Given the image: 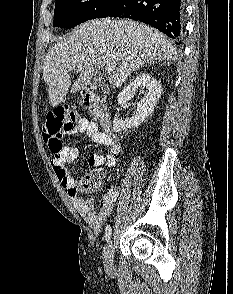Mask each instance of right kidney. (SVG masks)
I'll return each mask as SVG.
<instances>
[{
    "mask_svg": "<svg viewBox=\"0 0 233 294\" xmlns=\"http://www.w3.org/2000/svg\"><path fill=\"white\" fill-rule=\"evenodd\" d=\"M140 90L144 97L138 102L134 115L127 120H113V130L118 133L127 129L137 128L154 111L157 101L161 96L159 82L149 73H139L118 95V104L131 100L135 92Z\"/></svg>",
    "mask_w": 233,
    "mask_h": 294,
    "instance_id": "ca27d5eb",
    "label": "right kidney"
}]
</instances>
